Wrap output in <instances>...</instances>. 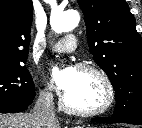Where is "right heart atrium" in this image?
Returning <instances> with one entry per match:
<instances>
[{
    "instance_id": "right-heart-atrium-1",
    "label": "right heart atrium",
    "mask_w": 142,
    "mask_h": 128,
    "mask_svg": "<svg viewBox=\"0 0 142 128\" xmlns=\"http://www.w3.org/2000/svg\"><path fill=\"white\" fill-rule=\"evenodd\" d=\"M40 95L43 99L50 100L53 96V89L50 85H45L40 91Z\"/></svg>"
}]
</instances>
